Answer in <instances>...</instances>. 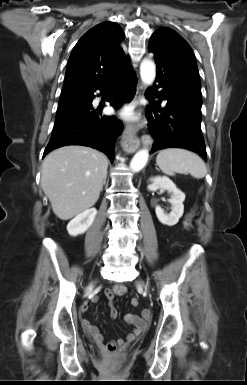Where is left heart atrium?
Returning <instances> with one entry per match:
<instances>
[{"label":"left heart atrium","instance_id":"left-heart-atrium-1","mask_svg":"<svg viewBox=\"0 0 247 385\" xmlns=\"http://www.w3.org/2000/svg\"><path fill=\"white\" fill-rule=\"evenodd\" d=\"M124 114H125L126 116H129V115H130V112H129L128 110H126V111H124Z\"/></svg>","mask_w":247,"mask_h":385}]
</instances>
